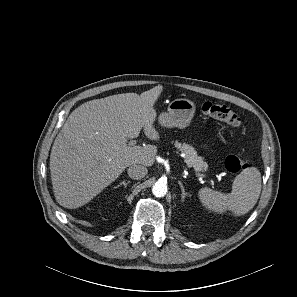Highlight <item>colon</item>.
<instances>
[{
	"label": "colon",
	"instance_id": "1",
	"mask_svg": "<svg viewBox=\"0 0 297 297\" xmlns=\"http://www.w3.org/2000/svg\"><path fill=\"white\" fill-rule=\"evenodd\" d=\"M201 111L214 119L224 121L232 127H239L241 125L240 116L230 107L206 101L201 104ZM247 166L244 159L241 157L230 155L225 159V168L228 172L236 174L242 171Z\"/></svg>",
	"mask_w": 297,
	"mask_h": 297
}]
</instances>
